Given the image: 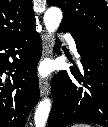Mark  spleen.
<instances>
[{
	"label": "spleen",
	"instance_id": "1",
	"mask_svg": "<svg viewBox=\"0 0 108 127\" xmlns=\"http://www.w3.org/2000/svg\"><path fill=\"white\" fill-rule=\"evenodd\" d=\"M73 127H91V125L88 124H75Z\"/></svg>",
	"mask_w": 108,
	"mask_h": 127
}]
</instances>
